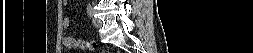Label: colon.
Here are the masks:
<instances>
[{
  "mask_svg": "<svg viewBox=\"0 0 253 53\" xmlns=\"http://www.w3.org/2000/svg\"><path fill=\"white\" fill-rule=\"evenodd\" d=\"M97 45V42L93 40H78V47L82 49L95 50Z\"/></svg>",
  "mask_w": 253,
  "mask_h": 53,
  "instance_id": "1",
  "label": "colon"
}]
</instances>
